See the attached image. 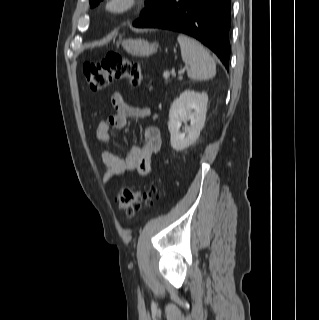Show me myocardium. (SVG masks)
Returning <instances> with one entry per match:
<instances>
[{
  "label": "myocardium",
  "mask_w": 319,
  "mask_h": 320,
  "mask_svg": "<svg viewBox=\"0 0 319 320\" xmlns=\"http://www.w3.org/2000/svg\"><path fill=\"white\" fill-rule=\"evenodd\" d=\"M146 2V0H106L105 10L115 18H122L142 8Z\"/></svg>",
  "instance_id": "1"
}]
</instances>
